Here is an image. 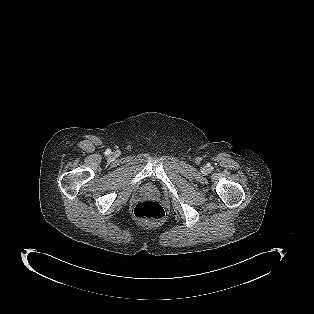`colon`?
Segmentation results:
<instances>
[{
  "instance_id": "obj_1",
  "label": "colon",
  "mask_w": 314,
  "mask_h": 314,
  "mask_svg": "<svg viewBox=\"0 0 314 314\" xmlns=\"http://www.w3.org/2000/svg\"><path fill=\"white\" fill-rule=\"evenodd\" d=\"M134 215L144 221L158 222L165 217V210L162 205L153 199L140 201L134 207Z\"/></svg>"
}]
</instances>
